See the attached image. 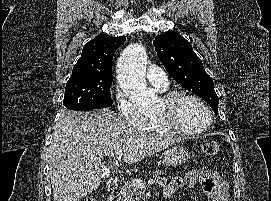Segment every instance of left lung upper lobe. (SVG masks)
<instances>
[{
	"instance_id": "5c2ea615",
	"label": "left lung upper lobe",
	"mask_w": 271,
	"mask_h": 201,
	"mask_svg": "<svg viewBox=\"0 0 271 201\" xmlns=\"http://www.w3.org/2000/svg\"><path fill=\"white\" fill-rule=\"evenodd\" d=\"M161 63L169 75L185 89L206 101L218 114V97L212 78L191 44L177 32H166L153 41Z\"/></svg>"
}]
</instances>
